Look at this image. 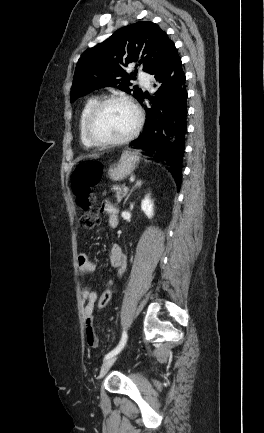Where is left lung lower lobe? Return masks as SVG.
I'll return each mask as SVG.
<instances>
[{
	"label": "left lung lower lobe",
	"instance_id": "1",
	"mask_svg": "<svg viewBox=\"0 0 264 433\" xmlns=\"http://www.w3.org/2000/svg\"><path fill=\"white\" fill-rule=\"evenodd\" d=\"M151 75L158 90L152 96L143 93L140 98V103L148 99L151 107L146 108L143 132L131 144L134 148L148 151L149 155L165 164L180 187L188 94L177 50L171 51Z\"/></svg>",
	"mask_w": 264,
	"mask_h": 433
}]
</instances>
